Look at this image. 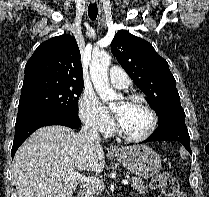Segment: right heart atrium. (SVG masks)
Instances as JSON below:
<instances>
[{
  "label": "right heart atrium",
  "mask_w": 209,
  "mask_h": 197,
  "mask_svg": "<svg viewBox=\"0 0 209 197\" xmlns=\"http://www.w3.org/2000/svg\"><path fill=\"white\" fill-rule=\"evenodd\" d=\"M79 116L92 131L108 134L113 129V118L100 100L91 92L83 91L78 102Z\"/></svg>",
  "instance_id": "right-heart-atrium-1"
}]
</instances>
